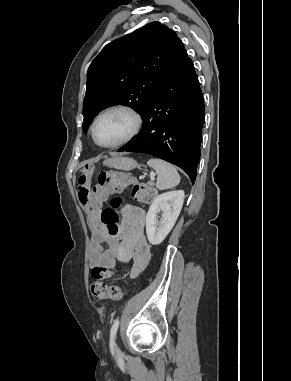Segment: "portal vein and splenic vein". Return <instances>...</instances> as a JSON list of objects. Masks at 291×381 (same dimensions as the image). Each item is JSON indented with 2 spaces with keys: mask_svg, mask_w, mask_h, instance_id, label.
<instances>
[{
  "mask_svg": "<svg viewBox=\"0 0 291 381\" xmlns=\"http://www.w3.org/2000/svg\"><path fill=\"white\" fill-rule=\"evenodd\" d=\"M154 176H155L154 174L151 175V180H154V179H155Z\"/></svg>",
  "mask_w": 291,
  "mask_h": 381,
  "instance_id": "1",
  "label": "portal vein and splenic vein"
}]
</instances>
